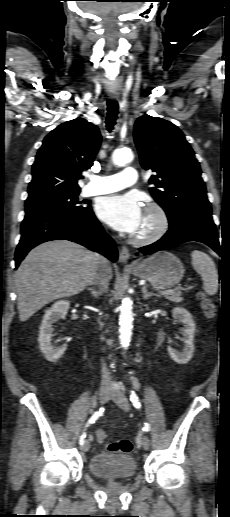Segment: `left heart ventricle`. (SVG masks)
<instances>
[{
	"mask_svg": "<svg viewBox=\"0 0 230 517\" xmlns=\"http://www.w3.org/2000/svg\"><path fill=\"white\" fill-rule=\"evenodd\" d=\"M155 225V218L152 213L144 211L140 227L135 232L136 235L148 233Z\"/></svg>",
	"mask_w": 230,
	"mask_h": 517,
	"instance_id": "b2bd125f",
	"label": "left heart ventricle"
}]
</instances>
